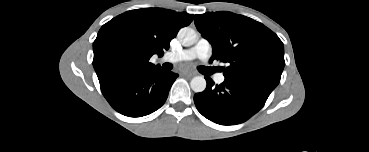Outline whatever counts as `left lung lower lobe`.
I'll return each instance as SVG.
<instances>
[{"instance_id": "obj_1", "label": "left lung lower lobe", "mask_w": 369, "mask_h": 152, "mask_svg": "<svg viewBox=\"0 0 369 152\" xmlns=\"http://www.w3.org/2000/svg\"><path fill=\"white\" fill-rule=\"evenodd\" d=\"M206 89L194 95L198 111L210 121L220 125L245 122L265 104L272 90L238 81L226 80L214 85L210 78Z\"/></svg>"}]
</instances>
